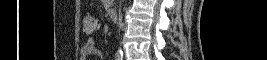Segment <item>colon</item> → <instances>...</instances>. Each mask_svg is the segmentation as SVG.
<instances>
[{"mask_svg": "<svg viewBox=\"0 0 267 60\" xmlns=\"http://www.w3.org/2000/svg\"><path fill=\"white\" fill-rule=\"evenodd\" d=\"M99 27L98 19L92 14H85L83 17V31L85 33L94 32Z\"/></svg>", "mask_w": 267, "mask_h": 60, "instance_id": "5ec220e1", "label": "colon"}]
</instances>
